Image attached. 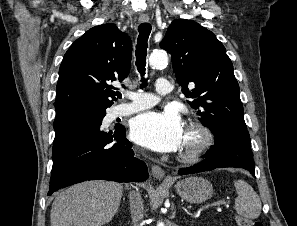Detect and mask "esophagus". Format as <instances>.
I'll return each instance as SVG.
<instances>
[{"mask_svg": "<svg viewBox=\"0 0 297 226\" xmlns=\"http://www.w3.org/2000/svg\"><path fill=\"white\" fill-rule=\"evenodd\" d=\"M139 22L140 23L148 22V18L147 17H140ZM151 172H152V175L155 178L159 179V180L170 181V178L165 177L164 170L158 165H152L151 166Z\"/></svg>", "mask_w": 297, "mask_h": 226, "instance_id": "esophagus-1", "label": "esophagus"}]
</instances>
